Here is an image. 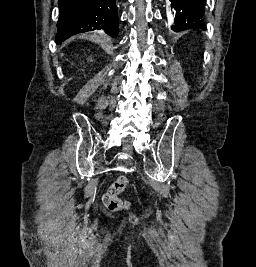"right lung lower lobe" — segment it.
<instances>
[{
    "label": "right lung lower lobe",
    "mask_w": 256,
    "mask_h": 267,
    "mask_svg": "<svg viewBox=\"0 0 256 267\" xmlns=\"http://www.w3.org/2000/svg\"><path fill=\"white\" fill-rule=\"evenodd\" d=\"M58 4V44L72 35L96 29H103L111 37L118 34L116 0H58Z\"/></svg>",
    "instance_id": "obj_1"
}]
</instances>
